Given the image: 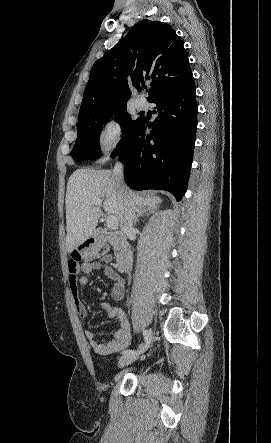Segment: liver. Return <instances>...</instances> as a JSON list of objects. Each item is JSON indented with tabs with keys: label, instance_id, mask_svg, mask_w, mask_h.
I'll list each match as a JSON object with an SVG mask.
<instances>
[{
	"label": "liver",
	"instance_id": "obj_1",
	"mask_svg": "<svg viewBox=\"0 0 271 443\" xmlns=\"http://www.w3.org/2000/svg\"><path fill=\"white\" fill-rule=\"evenodd\" d=\"M131 202L137 208L149 206L155 208L161 204L158 196H139L131 192ZM101 200L103 208L109 216H114L121 223L124 214V202L115 188L110 170H91L82 168L75 170L67 182L66 192V251L71 253L78 245L93 235L100 218L99 206L91 202Z\"/></svg>",
	"mask_w": 271,
	"mask_h": 443
}]
</instances>
